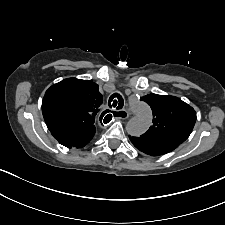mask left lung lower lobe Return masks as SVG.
<instances>
[{
  "label": "left lung lower lobe",
  "mask_w": 225,
  "mask_h": 225,
  "mask_svg": "<svg viewBox=\"0 0 225 225\" xmlns=\"http://www.w3.org/2000/svg\"><path fill=\"white\" fill-rule=\"evenodd\" d=\"M129 138L137 149L151 156H160L166 154L168 152L173 151L179 146V144L176 143L157 142L147 140L141 137L129 136Z\"/></svg>",
  "instance_id": "0a47b994"
}]
</instances>
